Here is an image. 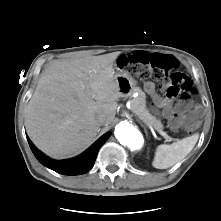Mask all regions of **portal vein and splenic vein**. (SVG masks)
<instances>
[{
    "label": "portal vein and splenic vein",
    "mask_w": 221,
    "mask_h": 221,
    "mask_svg": "<svg viewBox=\"0 0 221 221\" xmlns=\"http://www.w3.org/2000/svg\"><path fill=\"white\" fill-rule=\"evenodd\" d=\"M156 130L159 132L160 135H162L166 139L167 142L171 141V138L168 136L166 132L159 130V129H156Z\"/></svg>",
    "instance_id": "portal-vein-and-splenic-vein-1"
}]
</instances>
